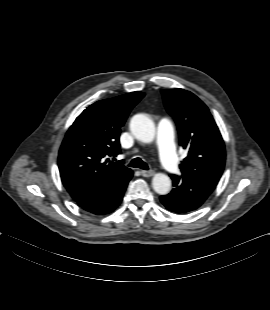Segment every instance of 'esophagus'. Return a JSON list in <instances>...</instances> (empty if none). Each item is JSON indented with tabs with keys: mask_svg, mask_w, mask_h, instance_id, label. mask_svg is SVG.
<instances>
[{
	"mask_svg": "<svg viewBox=\"0 0 270 310\" xmlns=\"http://www.w3.org/2000/svg\"><path fill=\"white\" fill-rule=\"evenodd\" d=\"M154 171L153 170H148V171H146V170H141V174H142V176H144V177H151V176H153L154 175Z\"/></svg>",
	"mask_w": 270,
	"mask_h": 310,
	"instance_id": "1",
	"label": "esophagus"
}]
</instances>
